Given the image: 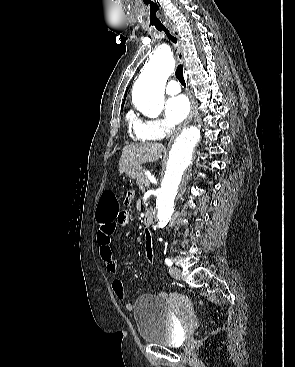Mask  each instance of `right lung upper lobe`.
<instances>
[{
    "mask_svg": "<svg viewBox=\"0 0 295 367\" xmlns=\"http://www.w3.org/2000/svg\"><path fill=\"white\" fill-rule=\"evenodd\" d=\"M125 99H126V93H125V97H124V101H123V104H124V102H125Z\"/></svg>",
    "mask_w": 295,
    "mask_h": 367,
    "instance_id": "1",
    "label": "right lung upper lobe"
}]
</instances>
